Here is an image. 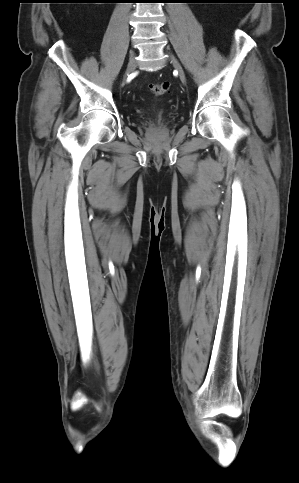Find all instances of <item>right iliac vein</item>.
<instances>
[{"mask_svg": "<svg viewBox=\"0 0 299 483\" xmlns=\"http://www.w3.org/2000/svg\"><path fill=\"white\" fill-rule=\"evenodd\" d=\"M134 69H135V53L132 51L130 53V58H129L128 66H127L126 75L133 72Z\"/></svg>", "mask_w": 299, "mask_h": 483, "instance_id": "63e3f726", "label": "right iliac vein"}]
</instances>
